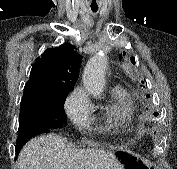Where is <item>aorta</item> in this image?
<instances>
[{
    "instance_id": "762f6f07",
    "label": "aorta",
    "mask_w": 177,
    "mask_h": 169,
    "mask_svg": "<svg viewBox=\"0 0 177 169\" xmlns=\"http://www.w3.org/2000/svg\"><path fill=\"white\" fill-rule=\"evenodd\" d=\"M107 57L104 53L92 56L83 71L82 82L85 90L93 97L99 98L105 87Z\"/></svg>"
}]
</instances>
